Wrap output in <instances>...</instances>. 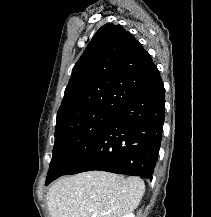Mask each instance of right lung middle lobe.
<instances>
[{"mask_svg":"<svg viewBox=\"0 0 211 217\" xmlns=\"http://www.w3.org/2000/svg\"><path fill=\"white\" fill-rule=\"evenodd\" d=\"M117 111H96L56 125L47 180L62 176L97 141Z\"/></svg>","mask_w":211,"mask_h":217,"instance_id":"obj_1","label":"right lung middle lobe"}]
</instances>
